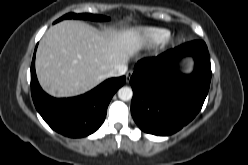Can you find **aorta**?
<instances>
[{
    "mask_svg": "<svg viewBox=\"0 0 248 165\" xmlns=\"http://www.w3.org/2000/svg\"><path fill=\"white\" fill-rule=\"evenodd\" d=\"M133 92L129 87H122L118 91V97L123 101H128L132 98Z\"/></svg>",
    "mask_w": 248,
    "mask_h": 165,
    "instance_id": "1",
    "label": "aorta"
}]
</instances>
